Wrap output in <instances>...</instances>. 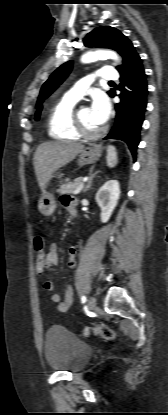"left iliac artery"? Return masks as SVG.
<instances>
[{
    "mask_svg": "<svg viewBox=\"0 0 168 415\" xmlns=\"http://www.w3.org/2000/svg\"><path fill=\"white\" fill-rule=\"evenodd\" d=\"M81 302H82V303H85V302H86V296H84V295H83V296L81 297Z\"/></svg>",
    "mask_w": 168,
    "mask_h": 415,
    "instance_id": "left-iliac-artery-1",
    "label": "left iliac artery"
}]
</instances>
